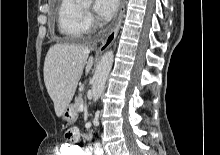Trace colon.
Instances as JSON below:
<instances>
[{
	"instance_id": "obj_1",
	"label": "colon",
	"mask_w": 220,
	"mask_h": 155,
	"mask_svg": "<svg viewBox=\"0 0 220 155\" xmlns=\"http://www.w3.org/2000/svg\"><path fill=\"white\" fill-rule=\"evenodd\" d=\"M59 155H83L79 146H60Z\"/></svg>"
}]
</instances>
